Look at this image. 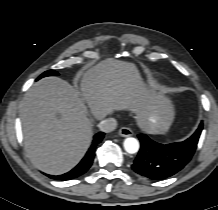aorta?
Wrapping results in <instances>:
<instances>
[{
	"mask_svg": "<svg viewBox=\"0 0 218 210\" xmlns=\"http://www.w3.org/2000/svg\"><path fill=\"white\" fill-rule=\"evenodd\" d=\"M124 149L130 154H134L139 150V142L133 137L126 138L124 141Z\"/></svg>",
	"mask_w": 218,
	"mask_h": 210,
	"instance_id": "1",
	"label": "aorta"
}]
</instances>
